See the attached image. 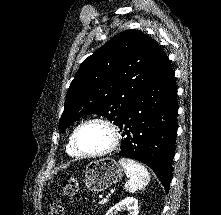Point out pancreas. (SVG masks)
I'll return each mask as SVG.
<instances>
[{"label": "pancreas", "mask_w": 221, "mask_h": 215, "mask_svg": "<svg viewBox=\"0 0 221 215\" xmlns=\"http://www.w3.org/2000/svg\"><path fill=\"white\" fill-rule=\"evenodd\" d=\"M108 202V200H101L98 202L99 205H104Z\"/></svg>", "instance_id": "pancreas-1"}]
</instances>
